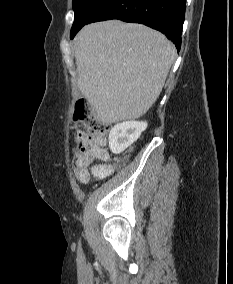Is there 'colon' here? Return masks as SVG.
I'll list each match as a JSON object with an SVG mask.
<instances>
[{
	"label": "colon",
	"instance_id": "obj_1",
	"mask_svg": "<svg viewBox=\"0 0 233 284\" xmlns=\"http://www.w3.org/2000/svg\"><path fill=\"white\" fill-rule=\"evenodd\" d=\"M74 119L85 128L74 135V170L89 167L94 161H106L108 152L105 148V138L110 130V124L98 118L92 106L84 100L76 102Z\"/></svg>",
	"mask_w": 233,
	"mask_h": 284
}]
</instances>
